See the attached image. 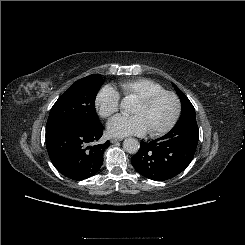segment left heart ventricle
<instances>
[{
  "instance_id": "1",
  "label": "left heart ventricle",
  "mask_w": 245,
  "mask_h": 245,
  "mask_svg": "<svg viewBox=\"0 0 245 245\" xmlns=\"http://www.w3.org/2000/svg\"><path fill=\"white\" fill-rule=\"evenodd\" d=\"M176 104L171 96H163L149 105L135 102L131 113L139 116L147 131H156L165 127L172 119Z\"/></svg>"
}]
</instances>
